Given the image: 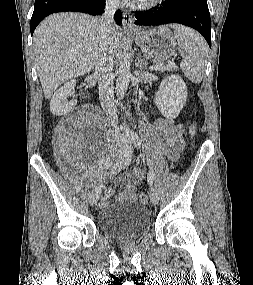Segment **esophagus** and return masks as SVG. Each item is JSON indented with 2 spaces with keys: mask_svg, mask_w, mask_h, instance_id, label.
<instances>
[{
  "mask_svg": "<svg viewBox=\"0 0 253 285\" xmlns=\"http://www.w3.org/2000/svg\"><path fill=\"white\" fill-rule=\"evenodd\" d=\"M123 28L125 31H134L136 29L134 25L133 17L128 12L123 13Z\"/></svg>",
  "mask_w": 253,
  "mask_h": 285,
  "instance_id": "esophagus-1",
  "label": "esophagus"
}]
</instances>
